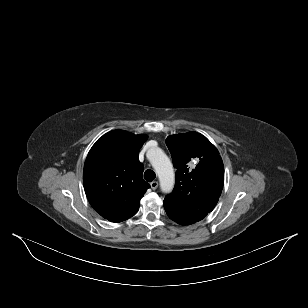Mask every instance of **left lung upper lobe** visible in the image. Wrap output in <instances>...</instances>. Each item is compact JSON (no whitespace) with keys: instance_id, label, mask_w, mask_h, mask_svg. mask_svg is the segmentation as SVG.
<instances>
[{"instance_id":"5c2ea615","label":"left lung upper lobe","mask_w":308,"mask_h":308,"mask_svg":"<svg viewBox=\"0 0 308 308\" xmlns=\"http://www.w3.org/2000/svg\"><path fill=\"white\" fill-rule=\"evenodd\" d=\"M176 184L164 199L170 219L180 225L202 220L216 206L224 184V166L217 148L202 134L168 136Z\"/></svg>"}]
</instances>
